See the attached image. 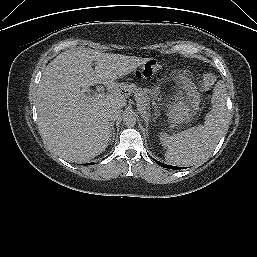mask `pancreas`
Segmentation results:
<instances>
[{
	"mask_svg": "<svg viewBox=\"0 0 257 257\" xmlns=\"http://www.w3.org/2000/svg\"><path fill=\"white\" fill-rule=\"evenodd\" d=\"M127 88H128V90H131L134 92L139 110H141V108L149 109L150 100H151L150 96L152 94L149 89L137 88L136 86H128Z\"/></svg>",
	"mask_w": 257,
	"mask_h": 257,
	"instance_id": "cf45deb5",
	"label": "pancreas"
}]
</instances>
